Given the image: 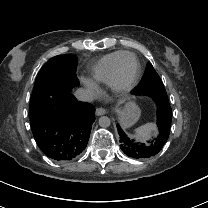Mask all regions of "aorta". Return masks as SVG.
Here are the masks:
<instances>
[{
  "instance_id": "aorta-1",
  "label": "aorta",
  "mask_w": 208,
  "mask_h": 208,
  "mask_svg": "<svg viewBox=\"0 0 208 208\" xmlns=\"http://www.w3.org/2000/svg\"><path fill=\"white\" fill-rule=\"evenodd\" d=\"M111 124V120L110 118L106 117V116H102L99 118V125L102 127V128H107L109 127Z\"/></svg>"
}]
</instances>
